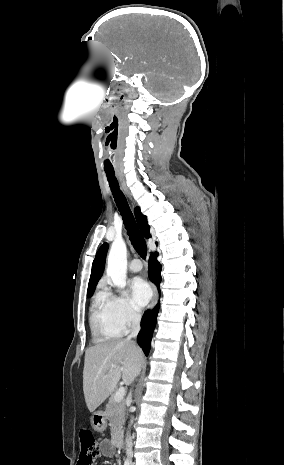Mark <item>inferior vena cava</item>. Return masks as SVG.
I'll return each mask as SVG.
<instances>
[{"mask_svg": "<svg viewBox=\"0 0 284 465\" xmlns=\"http://www.w3.org/2000/svg\"><path fill=\"white\" fill-rule=\"evenodd\" d=\"M140 323H141V315L139 313H133L132 315V333L128 335L126 341H131V339H134V337H137L139 331H140ZM131 397V395H130ZM126 453L127 457L131 459L132 457V439L131 437H127L126 439Z\"/></svg>", "mask_w": 284, "mask_h": 465, "instance_id": "1", "label": "inferior vena cava"}]
</instances>
